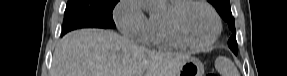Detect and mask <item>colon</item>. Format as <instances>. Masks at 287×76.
I'll list each match as a JSON object with an SVG mask.
<instances>
[{
	"instance_id": "1",
	"label": "colon",
	"mask_w": 287,
	"mask_h": 76,
	"mask_svg": "<svg viewBox=\"0 0 287 76\" xmlns=\"http://www.w3.org/2000/svg\"><path fill=\"white\" fill-rule=\"evenodd\" d=\"M207 76H215L214 72H210L207 74Z\"/></svg>"
}]
</instances>
